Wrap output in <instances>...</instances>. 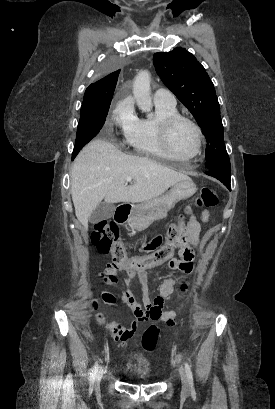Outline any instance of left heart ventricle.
Returning a JSON list of instances; mask_svg holds the SVG:
<instances>
[{
	"mask_svg": "<svg viewBox=\"0 0 275 409\" xmlns=\"http://www.w3.org/2000/svg\"><path fill=\"white\" fill-rule=\"evenodd\" d=\"M172 148L179 157H189L196 150V137L187 123L178 124L172 134Z\"/></svg>",
	"mask_w": 275,
	"mask_h": 409,
	"instance_id": "b2bd125f",
	"label": "left heart ventricle"
}]
</instances>
